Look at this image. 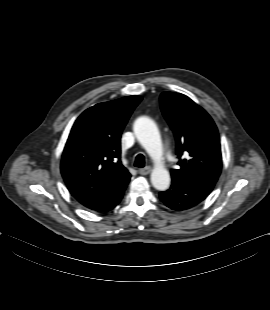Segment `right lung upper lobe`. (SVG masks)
Listing matches in <instances>:
<instances>
[{
	"instance_id": "right-lung-upper-lobe-1",
	"label": "right lung upper lobe",
	"mask_w": 270,
	"mask_h": 310,
	"mask_svg": "<svg viewBox=\"0 0 270 310\" xmlns=\"http://www.w3.org/2000/svg\"><path fill=\"white\" fill-rule=\"evenodd\" d=\"M140 96L103 102L75 121L65 145L61 173L79 202L96 197L129 176L120 160L121 133Z\"/></svg>"
}]
</instances>
